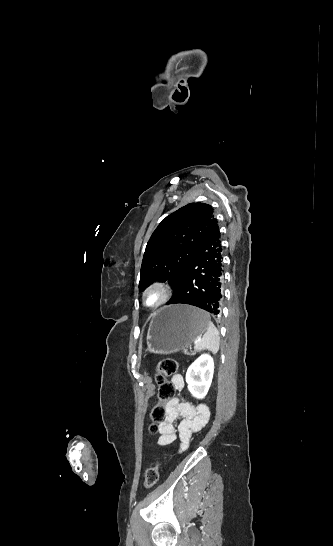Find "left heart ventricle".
<instances>
[{"label":"left heart ventricle","instance_id":"obj_1","mask_svg":"<svg viewBox=\"0 0 333 546\" xmlns=\"http://www.w3.org/2000/svg\"><path fill=\"white\" fill-rule=\"evenodd\" d=\"M161 299V293L158 290H153L148 294V303L153 305Z\"/></svg>","mask_w":333,"mask_h":546}]
</instances>
